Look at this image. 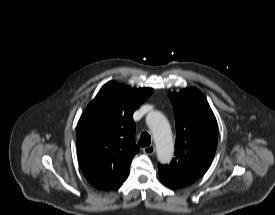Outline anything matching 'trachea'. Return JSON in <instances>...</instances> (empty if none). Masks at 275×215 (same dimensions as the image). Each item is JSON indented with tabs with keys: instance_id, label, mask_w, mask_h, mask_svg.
<instances>
[{
	"instance_id": "1",
	"label": "trachea",
	"mask_w": 275,
	"mask_h": 215,
	"mask_svg": "<svg viewBox=\"0 0 275 215\" xmlns=\"http://www.w3.org/2000/svg\"><path fill=\"white\" fill-rule=\"evenodd\" d=\"M151 143V137L147 132H143L140 136L138 145L141 147H147Z\"/></svg>"
}]
</instances>
